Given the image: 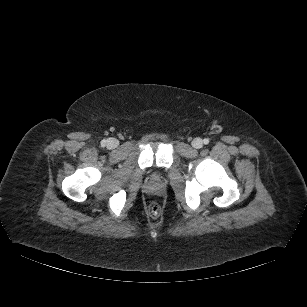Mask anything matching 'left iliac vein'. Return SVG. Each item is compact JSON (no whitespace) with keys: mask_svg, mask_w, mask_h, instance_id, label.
I'll return each instance as SVG.
<instances>
[{"mask_svg":"<svg viewBox=\"0 0 307 307\" xmlns=\"http://www.w3.org/2000/svg\"><path fill=\"white\" fill-rule=\"evenodd\" d=\"M192 146L196 149H199L203 146V141L200 138H195L192 141Z\"/></svg>","mask_w":307,"mask_h":307,"instance_id":"1","label":"left iliac vein"}]
</instances>
